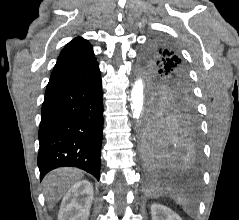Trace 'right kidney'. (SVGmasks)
Segmentation results:
<instances>
[{
  "mask_svg": "<svg viewBox=\"0 0 239 220\" xmlns=\"http://www.w3.org/2000/svg\"><path fill=\"white\" fill-rule=\"evenodd\" d=\"M92 200V184L87 180L76 182L62 200L58 220H87Z\"/></svg>",
  "mask_w": 239,
  "mask_h": 220,
  "instance_id": "1",
  "label": "right kidney"
}]
</instances>
